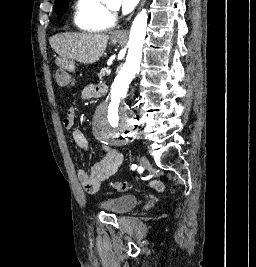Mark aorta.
Here are the masks:
<instances>
[{
    "instance_id": "762f6f07",
    "label": "aorta",
    "mask_w": 256,
    "mask_h": 267,
    "mask_svg": "<svg viewBox=\"0 0 256 267\" xmlns=\"http://www.w3.org/2000/svg\"><path fill=\"white\" fill-rule=\"evenodd\" d=\"M147 20V10H142L132 22L127 44L129 50L122 66L123 72L116 75V81H113L111 92L106 97L107 101H101L100 108H95L93 127H132V108L122 104V100L134 72L140 68ZM90 133L92 138H98V143H131V138H122V133H127V128H90Z\"/></svg>"
}]
</instances>
